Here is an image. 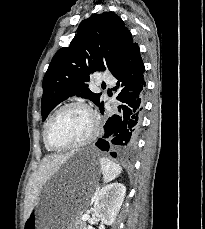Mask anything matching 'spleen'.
<instances>
[{
  "instance_id": "obj_1",
  "label": "spleen",
  "mask_w": 205,
  "mask_h": 229,
  "mask_svg": "<svg viewBox=\"0 0 205 229\" xmlns=\"http://www.w3.org/2000/svg\"><path fill=\"white\" fill-rule=\"evenodd\" d=\"M100 165L104 182H110L114 180L122 172V168L119 164L107 158H101Z\"/></svg>"
}]
</instances>
